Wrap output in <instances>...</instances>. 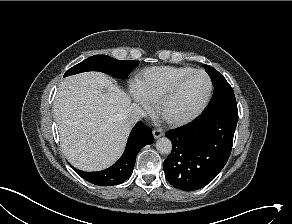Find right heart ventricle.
<instances>
[{
	"label": "right heart ventricle",
	"mask_w": 292,
	"mask_h": 224,
	"mask_svg": "<svg viewBox=\"0 0 292 224\" xmlns=\"http://www.w3.org/2000/svg\"><path fill=\"white\" fill-rule=\"evenodd\" d=\"M195 70L189 66H160L143 70L136 79V88L151 102H156L179 78Z\"/></svg>",
	"instance_id": "1"
}]
</instances>
